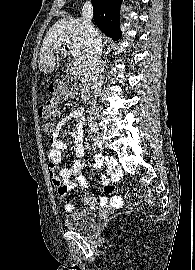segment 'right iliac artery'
Here are the masks:
<instances>
[{
	"mask_svg": "<svg viewBox=\"0 0 195 270\" xmlns=\"http://www.w3.org/2000/svg\"><path fill=\"white\" fill-rule=\"evenodd\" d=\"M92 148H93V150H96L97 145H96L95 143H93V144H92Z\"/></svg>",
	"mask_w": 195,
	"mask_h": 270,
	"instance_id": "right-iliac-artery-1",
	"label": "right iliac artery"
}]
</instances>
